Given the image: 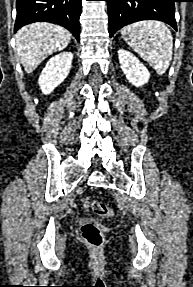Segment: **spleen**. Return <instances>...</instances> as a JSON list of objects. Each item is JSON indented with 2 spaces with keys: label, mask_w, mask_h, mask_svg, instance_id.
Masks as SVG:
<instances>
[{
  "label": "spleen",
  "mask_w": 193,
  "mask_h": 287,
  "mask_svg": "<svg viewBox=\"0 0 193 287\" xmlns=\"http://www.w3.org/2000/svg\"><path fill=\"white\" fill-rule=\"evenodd\" d=\"M121 35L157 74L162 75L166 72L172 60L173 37L164 23L153 20L140 21L122 28Z\"/></svg>",
  "instance_id": "3e777b00"
}]
</instances>
